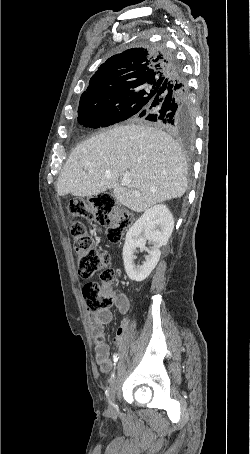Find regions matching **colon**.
I'll return each mask as SVG.
<instances>
[{
  "instance_id": "5ec220e1",
  "label": "colon",
  "mask_w": 250,
  "mask_h": 454,
  "mask_svg": "<svg viewBox=\"0 0 250 454\" xmlns=\"http://www.w3.org/2000/svg\"><path fill=\"white\" fill-rule=\"evenodd\" d=\"M69 213L75 220L71 227L77 257V266L82 278L88 279L100 272L101 283L87 282L83 286V296L88 310L93 313L106 311L114 305L115 295L109 289L115 272L110 267V255L97 247L94 236L87 227L77 221L85 217L97 225L106 227L107 238L112 242L122 239L124 231L131 225L129 214L119 211L113 195L100 193L89 197L87 204L74 201L69 206Z\"/></svg>"
}]
</instances>
